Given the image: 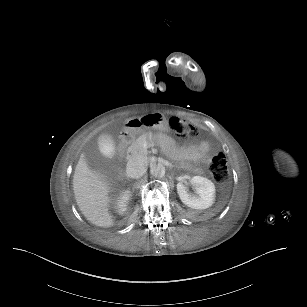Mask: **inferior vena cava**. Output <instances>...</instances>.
I'll use <instances>...</instances> for the list:
<instances>
[{
  "instance_id": "602c4592",
  "label": "inferior vena cava",
  "mask_w": 307,
  "mask_h": 307,
  "mask_svg": "<svg viewBox=\"0 0 307 307\" xmlns=\"http://www.w3.org/2000/svg\"><path fill=\"white\" fill-rule=\"evenodd\" d=\"M146 172L144 161L140 157L132 158L127 162L126 173L131 178H140Z\"/></svg>"
}]
</instances>
